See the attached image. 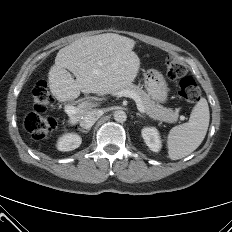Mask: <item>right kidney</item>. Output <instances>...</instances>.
<instances>
[{
  "instance_id": "ca27d5eb",
  "label": "right kidney",
  "mask_w": 232,
  "mask_h": 232,
  "mask_svg": "<svg viewBox=\"0 0 232 232\" xmlns=\"http://www.w3.org/2000/svg\"><path fill=\"white\" fill-rule=\"evenodd\" d=\"M82 138L75 133H67L60 137L57 143L59 151H72L81 145Z\"/></svg>"
}]
</instances>
